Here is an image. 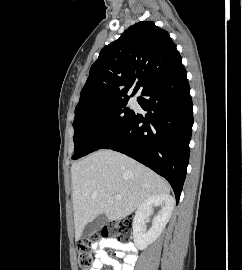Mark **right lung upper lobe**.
Returning a JSON list of instances; mask_svg holds the SVG:
<instances>
[{"instance_id":"obj_1","label":"right lung upper lobe","mask_w":242,"mask_h":270,"mask_svg":"<svg viewBox=\"0 0 242 270\" xmlns=\"http://www.w3.org/2000/svg\"><path fill=\"white\" fill-rule=\"evenodd\" d=\"M181 56L167 31L152 21L131 27L105 46L91 66L75 113L98 105L129 99L181 64Z\"/></svg>"}]
</instances>
